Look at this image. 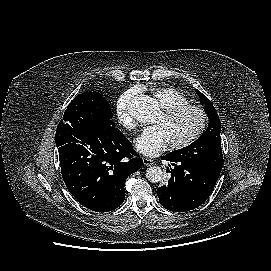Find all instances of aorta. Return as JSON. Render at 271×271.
<instances>
[{"label":"aorta","instance_id":"762f6f07","mask_svg":"<svg viewBox=\"0 0 271 271\" xmlns=\"http://www.w3.org/2000/svg\"><path fill=\"white\" fill-rule=\"evenodd\" d=\"M134 110V114L138 121L150 123L158 110V105L153 98L144 96L136 103ZM162 176V169L158 166H151L146 171V178L152 183L161 181Z\"/></svg>","mask_w":271,"mask_h":271}]
</instances>
